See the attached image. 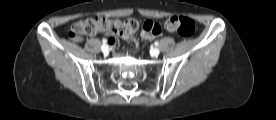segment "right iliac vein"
Instances as JSON below:
<instances>
[{
	"instance_id": "obj_1",
	"label": "right iliac vein",
	"mask_w": 276,
	"mask_h": 120,
	"mask_svg": "<svg viewBox=\"0 0 276 120\" xmlns=\"http://www.w3.org/2000/svg\"><path fill=\"white\" fill-rule=\"evenodd\" d=\"M101 50H102V52L103 53H108V46L105 44H103L102 46H101Z\"/></svg>"
}]
</instances>
